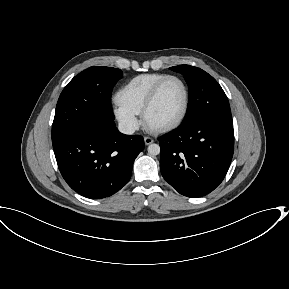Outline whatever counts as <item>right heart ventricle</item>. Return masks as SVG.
Listing matches in <instances>:
<instances>
[{
  "label": "right heart ventricle",
  "mask_w": 289,
  "mask_h": 289,
  "mask_svg": "<svg viewBox=\"0 0 289 289\" xmlns=\"http://www.w3.org/2000/svg\"><path fill=\"white\" fill-rule=\"evenodd\" d=\"M165 76L167 74L147 73L132 78L117 92V102L135 114H140L149 92Z\"/></svg>",
  "instance_id": "e07e8e85"
}]
</instances>
